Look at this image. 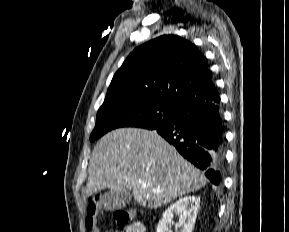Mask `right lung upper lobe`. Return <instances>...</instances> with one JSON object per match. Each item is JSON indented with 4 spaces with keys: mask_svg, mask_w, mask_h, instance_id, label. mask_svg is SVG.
I'll use <instances>...</instances> for the list:
<instances>
[{
    "mask_svg": "<svg viewBox=\"0 0 289 232\" xmlns=\"http://www.w3.org/2000/svg\"><path fill=\"white\" fill-rule=\"evenodd\" d=\"M129 96L175 108L219 97L203 54L177 35L153 39L126 58L105 99Z\"/></svg>",
    "mask_w": 289,
    "mask_h": 232,
    "instance_id": "1",
    "label": "right lung upper lobe"
}]
</instances>
